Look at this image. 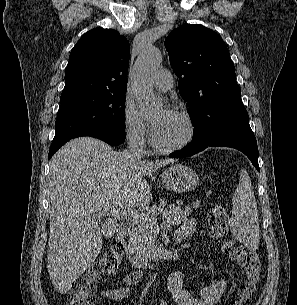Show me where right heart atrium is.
<instances>
[{"instance_id": "right-heart-atrium-1", "label": "right heart atrium", "mask_w": 297, "mask_h": 305, "mask_svg": "<svg viewBox=\"0 0 297 305\" xmlns=\"http://www.w3.org/2000/svg\"><path fill=\"white\" fill-rule=\"evenodd\" d=\"M122 129L132 147L139 149L145 146L148 138V128L145 120L129 97H126L123 102Z\"/></svg>"}]
</instances>
